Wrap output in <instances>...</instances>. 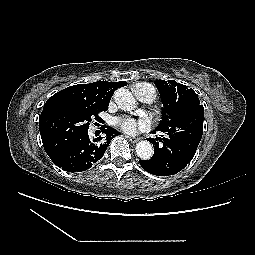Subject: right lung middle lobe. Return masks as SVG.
Here are the masks:
<instances>
[{"instance_id":"dd1d6c3e","label":"right lung middle lobe","mask_w":255,"mask_h":255,"mask_svg":"<svg viewBox=\"0 0 255 255\" xmlns=\"http://www.w3.org/2000/svg\"><path fill=\"white\" fill-rule=\"evenodd\" d=\"M104 108H68L56 107L42 113L39 119V129L52 139L66 143L88 131L91 119L99 120L98 113Z\"/></svg>"}]
</instances>
